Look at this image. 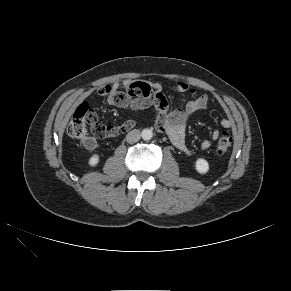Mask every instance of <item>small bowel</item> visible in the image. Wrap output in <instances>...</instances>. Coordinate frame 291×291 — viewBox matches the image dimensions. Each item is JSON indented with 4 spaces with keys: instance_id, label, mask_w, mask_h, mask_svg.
<instances>
[{
    "instance_id": "small-bowel-1",
    "label": "small bowel",
    "mask_w": 291,
    "mask_h": 291,
    "mask_svg": "<svg viewBox=\"0 0 291 291\" xmlns=\"http://www.w3.org/2000/svg\"><path fill=\"white\" fill-rule=\"evenodd\" d=\"M175 92L189 93L192 99L187 102L183 109H177L168 112L166 96L162 88L158 84L149 85L144 82L126 80L124 82H116L112 85L104 86L98 89L99 96H105L106 102L110 106L119 108H128L133 110L145 109L154 106L157 111V119L155 127L158 131L165 133L171 143L182 153L191 155L192 151L186 143V121L196 112L205 109L209 104V96L206 93L198 94L188 84L178 82L173 87ZM221 126L229 128L231 121L228 118L221 120ZM219 131L212 133V138L216 139ZM95 146V141L89 149ZM200 147L204 150L211 147V141L205 139L200 143Z\"/></svg>"
}]
</instances>
